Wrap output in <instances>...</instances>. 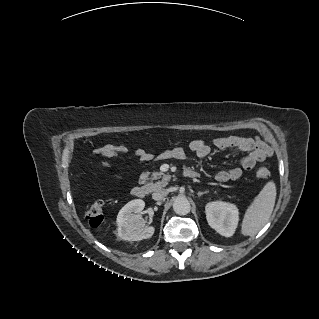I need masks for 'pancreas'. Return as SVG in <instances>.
<instances>
[{"mask_svg": "<svg viewBox=\"0 0 319 319\" xmlns=\"http://www.w3.org/2000/svg\"><path fill=\"white\" fill-rule=\"evenodd\" d=\"M159 181L154 182V180L160 179ZM170 180V175L162 174L161 172H154L151 177H146L144 180V184L146 189L149 192L155 191L157 189H161L162 187H165Z\"/></svg>", "mask_w": 319, "mask_h": 319, "instance_id": "cf45deb5", "label": "pancreas"}]
</instances>
